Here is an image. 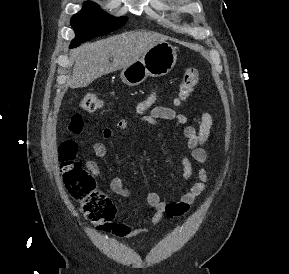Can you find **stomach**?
Returning a JSON list of instances; mask_svg holds the SVG:
<instances>
[{"instance_id": "obj_1", "label": "stomach", "mask_w": 289, "mask_h": 274, "mask_svg": "<svg viewBox=\"0 0 289 274\" xmlns=\"http://www.w3.org/2000/svg\"><path fill=\"white\" fill-rule=\"evenodd\" d=\"M177 61L176 49L167 41L151 47L138 60L125 67L121 72V80L129 86H137L147 77H161L168 74Z\"/></svg>"}]
</instances>
